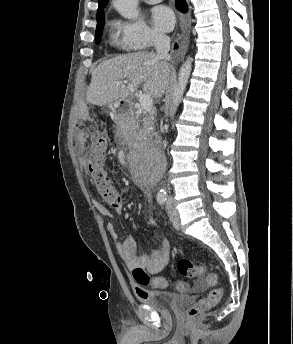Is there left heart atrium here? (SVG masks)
<instances>
[{"label":"left heart atrium","mask_w":293,"mask_h":344,"mask_svg":"<svg viewBox=\"0 0 293 344\" xmlns=\"http://www.w3.org/2000/svg\"><path fill=\"white\" fill-rule=\"evenodd\" d=\"M152 23L158 30L170 31L174 25V15L166 6H157L151 12Z\"/></svg>","instance_id":"left-heart-atrium-1"}]
</instances>
